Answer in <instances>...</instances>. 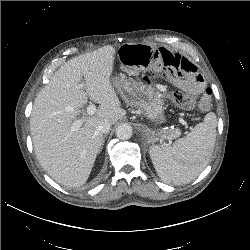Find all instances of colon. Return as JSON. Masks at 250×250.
I'll use <instances>...</instances> for the list:
<instances>
[{"label":"colon","instance_id":"5ec220e1","mask_svg":"<svg viewBox=\"0 0 250 250\" xmlns=\"http://www.w3.org/2000/svg\"><path fill=\"white\" fill-rule=\"evenodd\" d=\"M166 96L171 103L180 108H197L198 110L205 112L212 107V97L209 89H206L204 93L199 96L180 90L168 91Z\"/></svg>","mask_w":250,"mask_h":250}]
</instances>
